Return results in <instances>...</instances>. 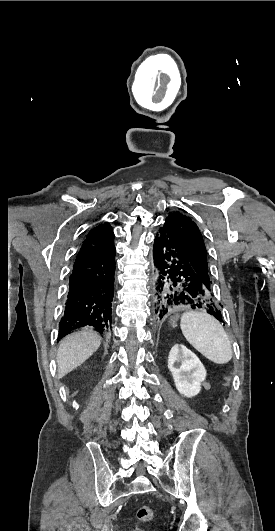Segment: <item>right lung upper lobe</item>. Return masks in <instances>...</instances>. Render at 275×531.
<instances>
[{"mask_svg": "<svg viewBox=\"0 0 275 531\" xmlns=\"http://www.w3.org/2000/svg\"><path fill=\"white\" fill-rule=\"evenodd\" d=\"M99 225H104V226H107V227H111L110 224L107 223V222H100V223H98L97 226H99Z\"/></svg>", "mask_w": 275, "mask_h": 531, "instance_id": "obj_1", "label": "right lung upper lobe"}]
</instances>
